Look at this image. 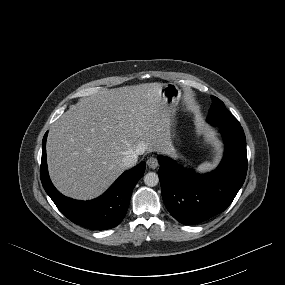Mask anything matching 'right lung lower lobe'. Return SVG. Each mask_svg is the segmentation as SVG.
<instances>
[{"instance_id":"1","label":"right lung lower lobe","mask_w":285,"mask_h":285,"mask_svg":"<svg viewBox=\"0 0 285 285\" xmlns=\"http://www.w3.org/2000/svg\"><path fill=\"white\" fill-rule=\"evenodd\" d=\"M42 142L40 177L42 185L57 208L70 221L83 227L103 230L117 226L124 218L136 183L145 172V162L125 171L100 197L91 201H78L62 195L53 186L47 170L46 139Z\"/></svg>"}]
</instances>
